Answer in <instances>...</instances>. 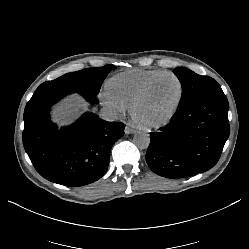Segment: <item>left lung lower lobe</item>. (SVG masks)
I'll return each mask as SVG.
<instances>
[{"instance_id":"left-lung-lower-lobe-1","label":"left lung lower lobe","mask_w":249,"mask_h":249,"mask_svg":"<svg viewBox=\"0 0 249 249\" xmlns=\"http://www.w3.org/2000/svg\"><path fill=\"white\" fill-rule=\"evenodd\" d=\"M228 100L224 93L192 100L152 132L146 161L166 178H187L211 169L219 160L229 137Z\"/></svg>"}]
</instances>
